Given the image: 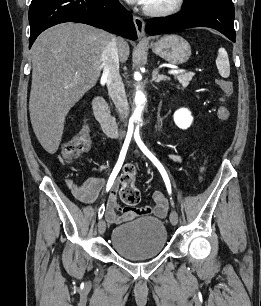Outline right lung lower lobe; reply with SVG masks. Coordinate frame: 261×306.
Listing matches in <instances>:
<instances>
[{
    "mask_svg": "<svg viewBox=\"0 0 261 306\" xmlns=\"http://www.w3.org/2000/svg\"><path fill=\"white\" fill-rule=\"evenodd\" d=\"M64 22H78L137 39L133 17L118 0H32L29 48L47 28Z\"/></svg>",
    "mask_w": 261,
    "mask_h": 306,
    "instance_id": "obj_1",
    "label": "right lung lower lobe"
}]
</instances>
